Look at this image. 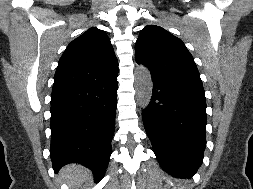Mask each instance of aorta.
<instances>
[{
    "instance_id": "aorta-1",
    "label": "aorta",
    "mask_w": 253,
    "mask_h": 189,
    "mask_svg": "<svg viewBox=\"0 0 253 189\" xmlns=\"http://www.w3.org/2000/svg\"><path fill=\"white\" fill-rule=\"evenodd\" d=\"M136 98L140 107L146 108L151 100L153 82L150 71L143 65L137 66L134 72Z\"/></svg>"
}]
</instances>
